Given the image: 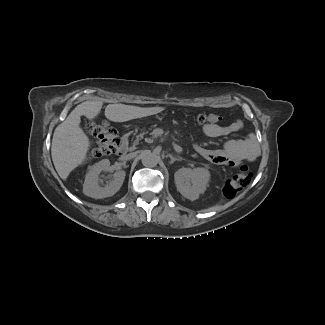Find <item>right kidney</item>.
<instances>
[{
	"mask_svg": "<svg viewBox=\"0 0 325 325\" xmlns=\"http://www.w3.org/2000/svg\"><path fill=\"white\" fill-rule=\"evenodd\" d=\"M109 168L110 161L108 159H103L93 165L91 170L87 173L83 185V193L86 196L101 199L113 196L120 190L126 176V173L123 170L116 172L112 181L105 186L99 185V174L101 171H108Z\"/></svg>",
	"mask_w": 325,
	"mask_h": 325,
	"instance_id": "1",
	"label": "right kidney"
}]
</instances>
